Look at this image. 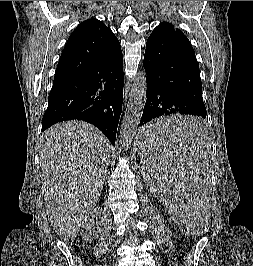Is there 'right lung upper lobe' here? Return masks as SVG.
I'll return each mask as SVG.
<instances>
[{
	"label": "right lung upper lobe",
	"instance_id": "cb5924a9",
	"mask_svg": "<svg viewBox=\"0 0 253 266\" xmlns=\"http://www.w3.org/2000/svg\"><path fill=\"white\" fill-rule=\"evenodd\" d=\"M121 52L118 39L103 22L95 18L85 20L70 35L53 83L103 64Z\"/></svg>",
	"mask_w": 253,
	"mask_h": 266
}]
</instances>
